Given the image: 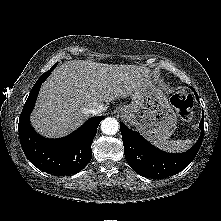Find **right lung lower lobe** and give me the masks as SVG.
Wrapping results in <instances>:
<instances>
[{"mask_svg":"<svg viewBox=\"0 0 221 221\" xmlns=\"http://www.w3.org/2000/svg\"><path fill=\"white\" fill-rule=\"evenodd\" d=\"M50 73H44L30 91L19 118L18 132L21 147L28 160L39 169L58 176L71 175L84 168L91 160V144L103 116L86 121L72 134L59 139H47L32 128L29 116L34 108L39 89Z\"/></svg>","mask_w":221,"mask_h":221,"instance_id":"1","label":"right lung lower lobe"}]
</instances>
